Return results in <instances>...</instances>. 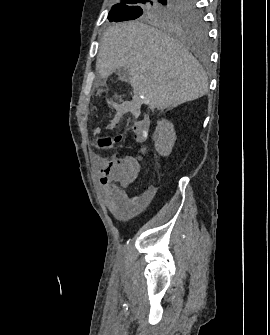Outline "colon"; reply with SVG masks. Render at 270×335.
<instances>
[{
    "label": "colon",
    "instance_id": "colon-1",
    "mask_svg": "<svg viewBox=\"0 0 270 335\" xmlns=\"http://www.w3.org/2000/svg\"><path fill=\"white\" fill-rule=\"evenodd\" d=\"M123 139L122 135H116L115 137L111 138L109 136H104L99 138L98 140V146L99 148H109L113 144L119 143Z\"/></svg>",
    "mask_w": 270,
    "mask_h": 335
}]
</instances>
